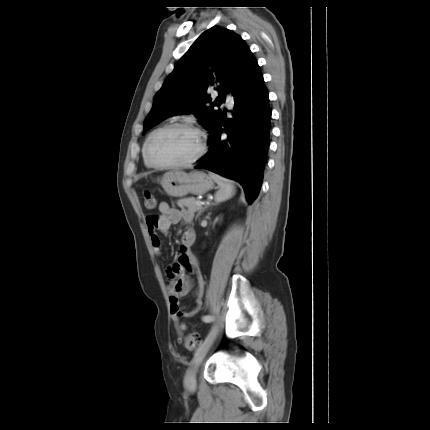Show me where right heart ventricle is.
<instances>
[{"label":"right heart ventricle","mask_w":430,"mask_h":430,"mask_svg":"<svg viewBox=\"0 0 430 430\" xmlns=\"http://www.w3.org/2000/svg\"><path fill=\"white\" fill-rule=\"evenodd\" d=\"M154 131H156V130H154ZM154 131H153V132H154ZM153 132H151V133L148 135V137L146 138V141L148 140L149 136H150ZM146 141H145L144 146H143V159H144V164H145V166H146V167H148V168H151V167H153V166H152V165L147 161L146 156H145V144H146Z\"/></svg>","instance_id":"obj_1"}]
</instances>
